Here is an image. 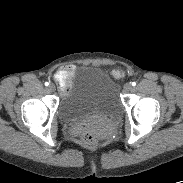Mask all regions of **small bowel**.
<instances>
[{"mask_svg": "<svg viewBox=\"0 0 183 183\" xmlns=\"http://www.w3.org/2000/svg\"><path fill=\"white\" fill-rule=\"evenodd\" d=\"M73 72H74V69L73 67H66V68H63L61 69L58 73H63L65 75H68L69 76V80L67 81V86L65 88H63L62 90H67L70 86V83H71V78H72V75H73Z\"/></svg>", "mask_w": 183, "mask_h": 183, "instance_id": "small-bowel-1", "label": "small bowel"}]
</instances>
